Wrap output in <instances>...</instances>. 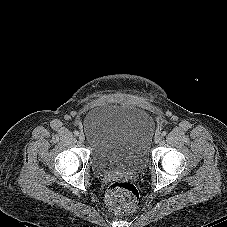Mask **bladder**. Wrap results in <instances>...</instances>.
<instances>
[{
	"label": "bladder",
	"mask_w": 227,
	"mask_h": 227,
	"mask_svg": "<svg viewBox=\"0 0 227 227\" xmlns=\"http://www.w3.org/2000/svg\"><path fill=\"white\" fill-rule=\"evenodd\" d=\"M153 129V116L138 106L105 103L91 109L83 130L95 172L109 175L143 168Z\"/></svg>",
	"instance_id": "1"
}]
</instances>
